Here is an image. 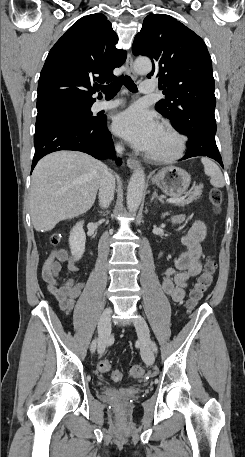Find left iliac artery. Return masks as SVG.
Here are the masks:
<instances>
[{
    "mask_svg": "<svg viewBox=\"0 0 245 457\" xmlns=\"http://www.w3.org/2000/svg\"><path fill=\"white\" fill-rule=\"evenodd\" d=\"M152 348H153V351H154V352L157 351L156 345H155V343H153V342H152Z\"/></svg>",
    "mask_w": 245,
    "mask_h": 457,
    "instance_id": "left-iliac-artery-1",
    "label": "left iliac artery"
}]
</instances>
